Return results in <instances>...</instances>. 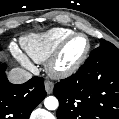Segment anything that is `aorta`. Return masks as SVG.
<instances>
[{"label": "aorta", "instance_id": "1", "mask_svg": "<svg viewBox=\"0 0 119 119\" xmlns=\"http://www.w3.org/2000/svg\"><path fill=\"white\" fill-rule=\"evenodd\" d=\"M44 105L48 110H56L58 108L59 102L58 99L54 96H49L45 98Z\"/></svg>", "mask_w": 119, "mask_h": 119}]
</instances>
